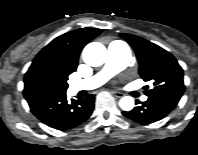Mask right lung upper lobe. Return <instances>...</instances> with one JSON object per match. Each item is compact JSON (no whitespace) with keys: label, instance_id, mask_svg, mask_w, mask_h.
Here are the masks:
<instances>
[{"label":"right lung upper lobe","instance_id":"cb5924a9","mask_svg":"<svg viewBox=\"0 0 198 155\" xmlns=\"http://www.w3.org/2000/svg\"><path fill=\"white\" fill-rule=\"evenodd\" d=\"M101 32V29L95 28L73 30L55 38L43 48L25 74L23 93L26 100L42 95L35 84V78L40 72H74L82 48Z\"/></svg>","mask_w":198,"mask_h":155}]
</instances>
